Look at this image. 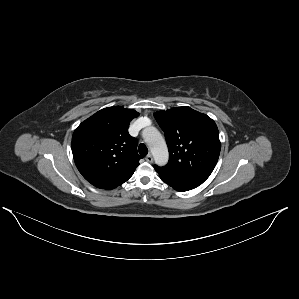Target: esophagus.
<instances>
[{
	"instance_id": "1",
	"label": "esophagus",
	"mask_w": 299,
	"mask_h": 299,
	"mask_svg": "<svg viewBox=\"0 0 299 299\" xmlns=\"http://www.w3.org/2000/svg\"><path fill=\"white\" fill-rule=\"evenodd\" d=\"M145 159H146V161L149 162V163H152V162H153V157H152L151 154L147 155V156L145 157Z\"/></svg>"
}]
</instances>
